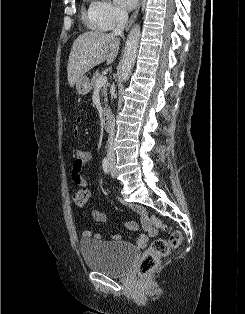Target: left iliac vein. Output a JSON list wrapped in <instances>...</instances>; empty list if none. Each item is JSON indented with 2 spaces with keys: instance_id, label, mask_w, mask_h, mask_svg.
<instances>
[{
  "instance_id": "1",
  "label": "left iliac vein",
  "mask_w": 245,
  "mask_h": 314,
  "mask_svg": "<svg viewBox=\"0 0 245 314\" xmlns=\"http://www.w3.org/2000/svg\"><path fill=\"white\" fill-rule=\"evenodd\" d=\"M110 174L112 177L116 176V171H115V167L113 164H111V167H110Z\"/></svg>"
}]
</instances>
